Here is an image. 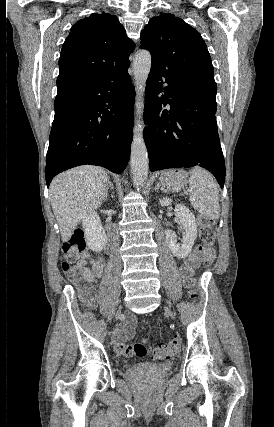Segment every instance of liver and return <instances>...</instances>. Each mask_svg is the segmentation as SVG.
Returning <instances> with one entry per match:
<instances>
[{
	"mask_svg": "<svg viewBox=\"0 0 274 427\" xmlns=\"http://www.w3.org/2000/svg\"><path fill=\"white\" fill-rule=\"evenodd\" d=\"M109 176L97 166H78L53 178L49 196L63 241H68L84 215L100 208Z\"/></svg>",
	"mask_w": 274,
	"mask_h": 427,
	"instance_id": "liver-1",
	"label": "liver"
}]
</instances>
